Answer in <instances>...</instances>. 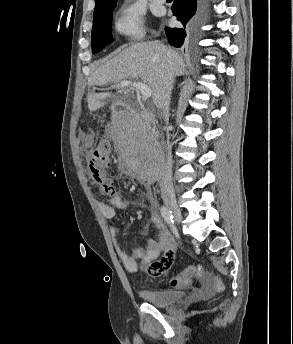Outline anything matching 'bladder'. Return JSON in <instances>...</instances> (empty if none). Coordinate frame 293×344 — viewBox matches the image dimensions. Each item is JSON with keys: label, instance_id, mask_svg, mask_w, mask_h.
<instances>
[{"label": "bladder", "instance_id": "obj_1", "mask_svg": "<svg viewBox=\"0 0 293 344\" xmlns=\"http://www.w3.org/2000/svg\"><path fill=\"white\" fill-rule=\"evenodd\" d=\"M142 294L148 303L159 307L177 303L185 297L183 291L169 288L144 290Z\"/></svg>", "mask_w": 293, "mask_h": 344}]
</instances>
